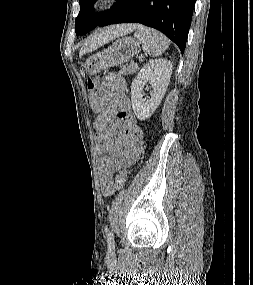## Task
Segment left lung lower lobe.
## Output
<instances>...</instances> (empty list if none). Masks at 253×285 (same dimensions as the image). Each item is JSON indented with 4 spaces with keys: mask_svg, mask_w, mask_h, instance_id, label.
Here are the masks:
<instances>
[{
    "mask_svg": "<svg viewBox=\"0 0 253 285\" xmlns=\"http://www.w3.org/2000/svg\"><path fill=\"white\" fill-rule=\"evenodd\" d=\"M196 0H121L99 26L141 23L164 33L183 54Z\"/></svg>",
    "mask_w": 253,
    "mask_h": 285,
    "instance_id": "0a47b994",
    "label": "left lung lower lobe"
}]
</instances>
